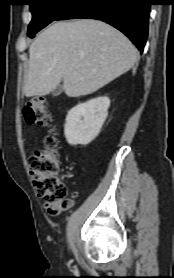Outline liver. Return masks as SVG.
<instances>
[{
    "label": "liver",
    "mask_w": 174,
    "mask_h": 278,
    "mask_svg": "<svg viewBox=\"0 0 174 278\" xmlns=\"http://www.w3.org/2000/svg\"><path fill=\"white\" fill-rule=\"evenodd\" d=\"M137 49L120 31L102 21H61L30 45L23 93L44 96L63 80L68 97L91 94L129 71Z\"/></svg>",
    "instance_id": "1"
}]
</instances>
